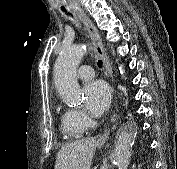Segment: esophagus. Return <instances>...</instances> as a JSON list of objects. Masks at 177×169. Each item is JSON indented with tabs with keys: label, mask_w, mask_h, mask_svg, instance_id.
Segmentation results:
<instances>
[{
	"label": "esophagus",
	"mask_w": 177,
	"mask_h": 169,
	"mask_svg": "<svg viewBox=\"0 0 177 169\" xmlns=\"http://www.w3.org/2000/svg\"><path fill=\"white\" fill-rule=\"evenodd\" d=\"M70 9L73 11V14L84 23V26L91 37L94 49H95L97 55L99 56V58L102 60L103 69L105 70V74L107 77H110L111 76V66H110L108 57L105 53V50H104V47L102 44V39H101V36H100L98 30L96 29V27L94 26L92 21L86 16V14L83 12V10L79 6L71 5ZM114 88L115 87L113 86L112 92H115ZM107 135H108V132L106 129L104 137H107Z\"/></svg>",
	"instance_id": "obj_1"
}]
</instances>
